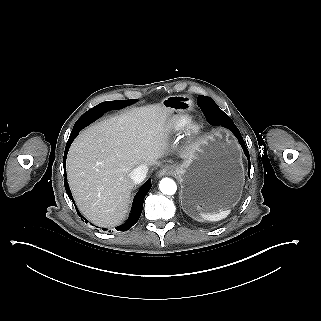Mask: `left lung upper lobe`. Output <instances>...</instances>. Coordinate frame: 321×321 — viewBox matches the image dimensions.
I'll return each instance as SVG.
<instances>
[{
    "instance_id": "5c2ea615",
    "label": "left lung upper lobe",
    "mask_w": 321,
    "mask_h": 321,
    "mask_svg": "<svg viewBox=\"0 0 321 321\" xmlns=\"http://www.w3.org/2000/svg\"><path fill=\"white\" fill-rule=\"evenodd\" d=\"M214 100L211 99L210 97H206V96H203V95H199L198 96V106L200 108H204L206 106H209L211 104H214Z\"/></svg>"
}]
</instances>
